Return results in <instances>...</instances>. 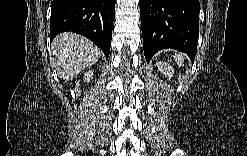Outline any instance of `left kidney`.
Listing matches in <instances>:
<instances>
[{"mask_svg": "<svg viewBox=\"0 0 247 156\" xmlns=\"http://www.w3.org/2000/svg\"><path fill=\"white\" fill-rule=\"evenodd\" d=\"M156 66L158 67V70L164 74L165 76L168 75L169 79H171L173 77L174 74V68L166 63V62H157Z\"/></svg>", "mask_w": 247, "mask_h": 156, "instance_id": "5707ae66", "label": "left kidney"}]
</instances>
